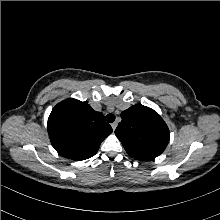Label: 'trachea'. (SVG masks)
I'll return each instance as SVG.
<instances>
[{"label":"trachea","mask_w":220,"mask_h":220,"mask_svg":"<svg viewBox=\"0 0 220 220\" xmlns=\"http://www.w3.org/2000/svg\"><path fill=\"white\" fill-rule=\"evenodd\" d=\"M114 120H115V115H114V114H108V115H106V121H107L108 123H113Z\"/></svg>","instance_id":"obj_1"}]
</instances>
